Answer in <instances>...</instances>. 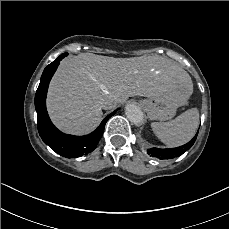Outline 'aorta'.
Here are the masks:
<instances>
[{
  "label": "aorta",
  "mask_w": 229,
  "mask_h": 229,
  "mask_svg": "<svg viewBox=\"0 0 229 229\" xmlns=\"http://www.w3.org/2000/svg\"><path fill=\"white\" fill-rule=\"evenodd\" d=\"M125 114L134 125H141L143 123V112L137 105L127 104L125 107Z\"/></svg>",
  "instance_id": "aorta-1"
}]
</instances>
